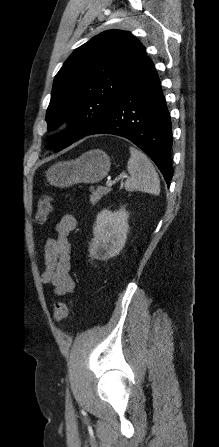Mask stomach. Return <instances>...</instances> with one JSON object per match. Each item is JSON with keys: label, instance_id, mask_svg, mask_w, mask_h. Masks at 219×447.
I'll return each instance as SVG.
<instances>
[{"label": "stomach", "instance_id": "obj_1", "mask_svg": "<svg viewBox=\"0 0 219 447\" xmlns=\"http://www.w3.org/2000/svg\"><path fill=\"white\" fill-rule=\"evenodd\" d=\"M110 158L102 150H90L71 161L58 162L46 172L50 184L68 187L77 183H96L110 170Z\"/></svg>", "mask_w": 219, "mask_h": 447}]
</instances>
